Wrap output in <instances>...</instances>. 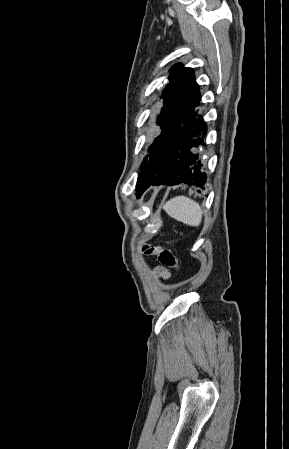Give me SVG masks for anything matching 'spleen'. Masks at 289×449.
<instances>
[{
  "label": "spleen",
  "instance_id": "3e777b00",
  "mask_svg": "<svg viewBox=\"0 0 289 449\" xmlns=\"http://www.w3.org/2000/svg\"><path fill=\"white\" fill-rule=\"evenodd\" d=\"M165 212L173 219L189 226H199L202 209L194 200L186 196H176L163 205Z\"/></svg>",
  "mask_w": 289,
  "mask_h": 449
}]
</instances>
